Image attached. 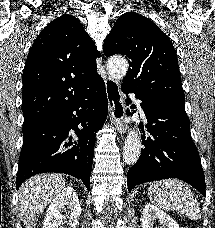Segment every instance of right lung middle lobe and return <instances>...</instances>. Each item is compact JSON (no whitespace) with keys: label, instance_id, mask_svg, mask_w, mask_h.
Here are the masks:
<instances>
[{"label":"right lung middle lobe","instance_id":"dd1d6c3e","mask_svg":"<svg viewBox=\"0 0 215 228\" xmlns=\"http://www.w3.org/2000/svg\"><path fill=\"white\" fill-rule=\"evenodd\" d=\"M27 126H29V125H24L23 128H25V127H27Z\"/></svg>","mask_w":215,"mask_h":228}]
</instances>
